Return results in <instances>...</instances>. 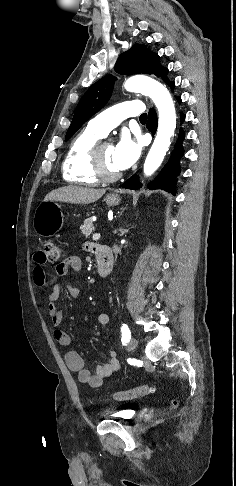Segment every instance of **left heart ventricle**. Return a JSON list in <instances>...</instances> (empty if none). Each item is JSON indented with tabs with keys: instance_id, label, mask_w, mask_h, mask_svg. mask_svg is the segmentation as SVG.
<instances>
[{
	"instance_id": "1",
	"label": "left heart ventricle",
	"mask_w": 236,
	"mask_h": 486,
	"mask_svg": "<svg viewBox=\"0 0 236 486\" xmlns=\"http://www.w3.org/2000/svg\"><path fill=\"white\" fill-rule=\"evenodd\" d=\"M114 147L105 143L101 148V157L106 170L110 173H117L120 170L116 167L113 158Z\"/></svg>"
}]
</instances>
